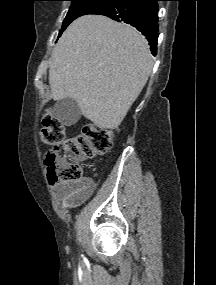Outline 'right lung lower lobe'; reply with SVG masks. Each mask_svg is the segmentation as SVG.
<instances>
[{"label": "right lung lower lobe", "mask_w": 216, "mask_h": 285, "mask_svg": "<svg viewBox=\"0 0 216 285\" xmlns=\"http://www.w3.org/2000/svg\"><path fill=\"white\" fill-rule=\"evenodd\" d=\"M157 1L160 0H116L95 14L110 17L118 22L124 21L137 28L146 36L152 54L156 55L159 35Z\"/></svg>", "instance_id": "right-lung-lower-lobe-1"}]
</instances>
